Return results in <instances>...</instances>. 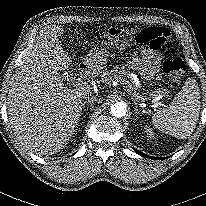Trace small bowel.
<instances>
[{
	"instance_id": "obj_1",
	"label": "small bowel",
	"mask_w": 206,
	"mask_h": 206,
	"mask_svg": "<svg viewBox=\"0 0 206 206\" xmlns=\"http://www.w3.org/2000/svg\"><path fill=\"white\" fill-rule=\"evenodd\" d=\"M161 61L162 56L159 53L142 49L140 55L134 57L132 65L137 66L142 75L149 78L157 73Z\"/></svg>"
}]
</instances>
